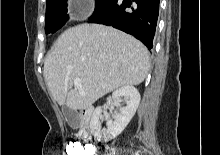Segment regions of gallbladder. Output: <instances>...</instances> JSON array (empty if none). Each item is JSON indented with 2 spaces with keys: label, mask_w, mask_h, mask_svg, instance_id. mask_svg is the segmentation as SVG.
<instances>
[{
  "label": "gallbladder",
  "mask_w": 220,
  "mask_h": 155,
  "mask_svg": "<svg viewBox=\"0 0 220 155\" xmlns=\"http://www.w3.org/2000/svg\"><path fill=\"white\" fill-rule=\"evenodd\" d=\"M63 114L70 125L73 129L77 128L80 123V118L79 115L76 111L68 108L67 106L63 107Z\"/></svg>",
  "instance_id": "1"
}]
</instances>
